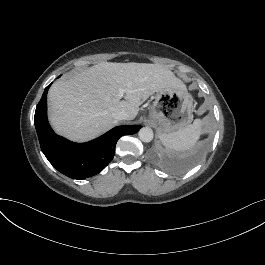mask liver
Wrapping results in <instances>:
<instances>
[{
    "label": "liver",
    "instance_id": "1",
    "mask_svg": "<svg viewBox=\"0 0 265 265\" xmlns=\"http://www.w3.org/2000/svg\"><path fill=\"white\" fill-rule=\"evenodd\" d=\"M120 89L134 90L118 100ZM186 86L161 64L100 62L56 81L48 91V118L53 129L73 141H87L117 124L116 111L133 120L139 106L155 92L184 93Z\"/></svg>",
    "mask_w": 265,
    "mask_h": 265
}]
</instances>
